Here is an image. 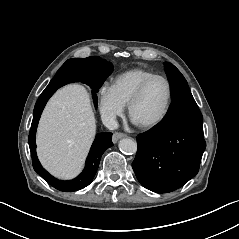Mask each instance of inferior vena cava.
Listing matches in <instances>:
<instances>
[{
    "label": "inferior vena cava",
    "mask_w": 239,
    "mask_h": 239,
    "mask_svg": "<svg viewBox=\"0 0 239 239\" xmlns=\"http://www.w3.org/2000/svg\"><path fill=\"white\" fill-rule=\"evenodd\" d=\"M102 123L109 129V130H116L118 128V123L114 116H102L101 117Z\"/></svg>",
    "instance_id": "602c4592"
}]
</instances>
